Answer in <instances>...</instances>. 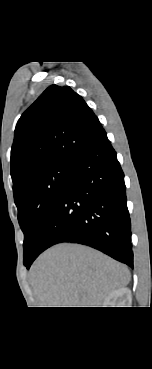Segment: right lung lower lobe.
<instances>
[{
  "instance_id": "obj_1",
  "label": "right lung lower lobe",
  "mask_w": 152,
  "mask_h": 369,
  "mask_svg": "<svg viewBox=\"0 0 152 369\" xmlns=\"http://www.w3.org/2000/svg\"><path fill=\"white\" fill-rule=\"evenodd\" d=\"M125 189L123 171L105 132L72 160L34 253L24 265L29 268L52 245L71 242L133 267Z\"/></svg>"
}]
</instances>
